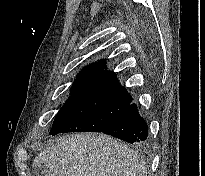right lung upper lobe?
I'll return each mask as SVG.
<instances>
[{"mask_svg":"<svg viewBox=\"0 0 205 176\" xmlns=\"http://www.w3.org/2000/svg\"><path fill=\"white\" fill-rule=\"evenodd\" d=\"M104 67L105 61H99L81 70L72 85L71 95L92 93L132 100L126 89L119 84L116 75L104 70Z\"/></svg>","mask_w":205,"mask_h":176,"instance_id":"right-lung-upper-lobe-1","label":"right lung upper lobe"}]
</instances>
